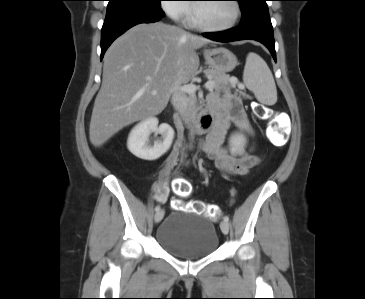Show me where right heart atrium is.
Listing matches in <instances>:
<instances>
[{
    "instance_id": "right-heart-atrium-1",
    "label": "right heart atrium",
    "mask_w": 365,
    "mask_h": 299,
    "mask_svg": "<svg viewBox=\"0 0 365 299\" xmlns=\"http://www.w3.org/2000/svg\"><path fill=\"white\" fill-rule=\"evenodd\" d=\"M184 0H163V11L175 21H184L190 14V8Z\"/></svg>"
}]
</instances>
